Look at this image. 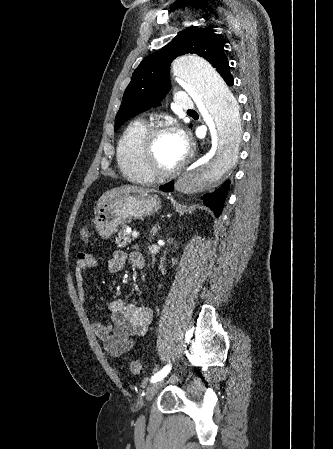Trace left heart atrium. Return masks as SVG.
Here are the masks:
<instances>
[{
  "mask_svg": "<svg viewBox=\"0 0 333 449\" xmlns=\"http://www.w3.org/2000/svg\"><path fill=\"white\" fill-rule=\"evenodd\" d=\"M176 139L183 154L187 153V140L185 134L181 131L175 132Z\"/></svg>",
  "mask_w": 333,
  "mask_h": 449,
  "instance_id": "left-heart-atrium-1",
  "label": "left heart atrium"
}]
</instances>
